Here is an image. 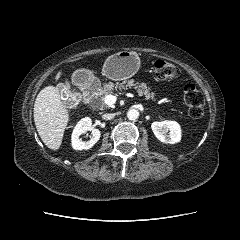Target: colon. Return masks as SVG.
<instances>
[{
    "mask_svg": "<svg viewBox=\"0 0 240 240\" xmlns=\"http://www.w3.org/2000/svg\"><path fill=\"white\" fill-rule=\"evenodd\" d=\"M153 72L156 79L167 81L176 78L179 69L169 61L157 60L153 65ZM182 95L188 114L192 118L201 117L204 111V98L200 91L193 84H187L183 88Z\"/></svg>",
    "mask_w": 240,
    "mask_h": 240,
    "instance_id": "5ec220e1",
    "label": "colon"
}]
</instances>
